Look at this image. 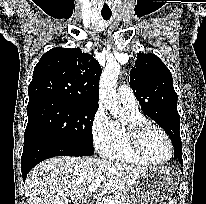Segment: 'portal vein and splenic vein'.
<instances>
[{
    "mask_svg": "<svg viewBox=\"0 0 206 204\" xmlns=\"http://www.w3.org/2000/svg\"><path fill=\"white\" fill-rule=\"evenodd\" d=\"M102 181H103V176L97 177L95 180V183L91 184L88 187V191L90 192L95 191L100 186ZM103 201H104V204H116V202L114 200L109 199V197L104 198Z\"/></svg>",
    "mask_w": 206,
    "mask_h": 204,
    "instance_id": "1",
    "label": "portal vein and splenic vein"
}]
</instances>
